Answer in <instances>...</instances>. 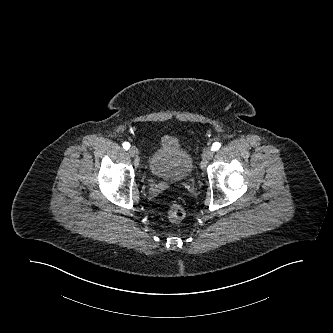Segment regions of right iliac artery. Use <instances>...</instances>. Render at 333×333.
<instances>
[{"mask_svg":"<svg viewBox=\"0 0 333 333\" xmlns=\"http://www.w3.org/2000/svg\"><path fill=\"white\" fill-rule=\"evenodd\" d=\"M123 148L128 150L130 148V144L128 142L123 143Z\"/></svg>","mask_w":333,"mask_h":333,"instance_id":"obj_1","label":"right iliac artery"}]
</instances>
